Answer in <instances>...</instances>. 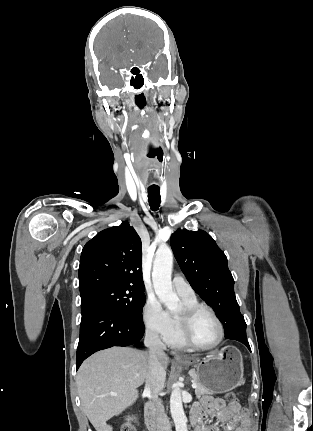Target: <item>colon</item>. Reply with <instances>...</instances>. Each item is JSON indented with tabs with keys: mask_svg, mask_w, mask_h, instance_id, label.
<instances>
[{
	"mask_svg": "<svg viewBox=\"0 0 313 431\" xmlns=\"http://www.w3.org/2000/svg\"><path fill=\"white\" fill-rule=\"evenodd\" d=\"M225 398L230 404L238 403L237 395L234 392H228L225 395ZM121 431H136V430L132 425L126 424L122 427Z\"/></svg>",
	"mask_w": 313,
	"mask_h": 431,
	"instance_id": "colon-1",
	"label": "colon"
}]
</instances>
